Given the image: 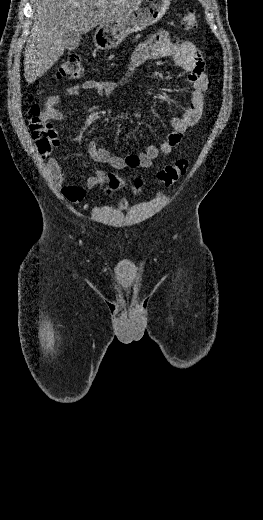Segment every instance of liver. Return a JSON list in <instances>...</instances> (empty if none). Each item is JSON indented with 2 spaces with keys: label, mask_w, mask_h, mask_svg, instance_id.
Listing matches in <instances>:
<instances>
[{
  "label": "liver",
  "mask_w": 263,
  "mask_h": 520,
  "mask_svg": "<svg viewBox=\"0 0 263 520\" xmlns=\"http://www.w3.org/2000/svg\"><path fill=\"white\" fill-rule=\"evenodd\" d=\"M141 0H33V29L25 47L24 77L33 83L63 55L64 34H84L118 19Z\"/></svg>",
  "instance_id": "6515ba94"
}]
</instances>
